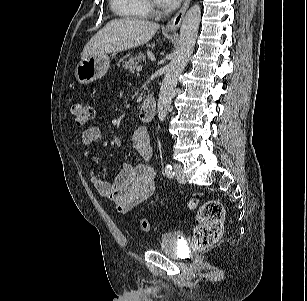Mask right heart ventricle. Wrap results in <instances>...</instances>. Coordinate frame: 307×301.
<instances>
[{
    "mask_svg": "<svg viewBox=\"0 0 307 301\" xmlns=\"http://www.w3.org/2000/svg\"><path fill=\"white\" fill-rule=\"evenodd\" d=\"M114 13L125 18L145 19L149 8L146 0H110Z\"/></svg>",
    "mask_w": 307,
    "mask_h": 301,
    "instance_id": "obj_1",
    "label": "right heart ventricle"
}]
</instances>
